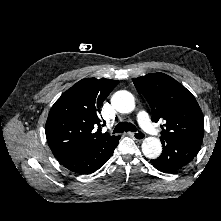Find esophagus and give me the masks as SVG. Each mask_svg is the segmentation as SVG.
<instances>
[{
    "label": "esophagus",
    "mask_w": 221,
    "mask_h": 221,
    "mask_svg": "<svg viewBox=\"0 0 221 221\" xmlns=\"http://www.w3.org/2000/svg\"><path fill=\"white\" fill-rule=\"evenodd\" d=\"M129 135H131L137 141H142L146 137L143 132H130Z\"/></svg>",
    "instance_id": "esophagus-1"
}]
</instances>
